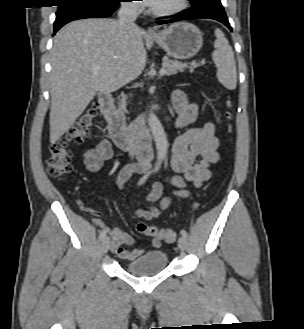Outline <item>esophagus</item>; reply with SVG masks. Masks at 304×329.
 Segmentation results:
<instances>
[{"label": "esophagus", "mask_w": 304, "mask_h": 329, "mask_svg": "<svg viewBox=\"0 0 304 329\" xmlns=\"http://www.w3.org/2000/svg\"><path fill=\"white\" fill-rule=\"evenodd\" d=\"M147 34L148 35H154L155 34V31L152 28H148L147 29Z\"/></svg>", "instance_id": "esophagus-1"}]
</instances>
